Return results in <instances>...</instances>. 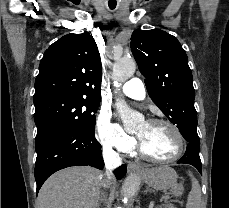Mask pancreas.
Listing matches in <instances>:
<instances>
[{
	"label": "pancreas",
	"mask_w": 229,
	"mask_h": 208,
	"mask_svg": "<svg viewBox=\"0 0 229 208\" xmlns=\"http://www.w3.org/2000/svg\"><path fill=\"white\" fill-rule=\"evenodd\" d=\"M159 208H162V206H159ZM166 208H174L173 204H167L166 202Z\"/></svg>",
	"instance_id": "1"
}]
</instances>
